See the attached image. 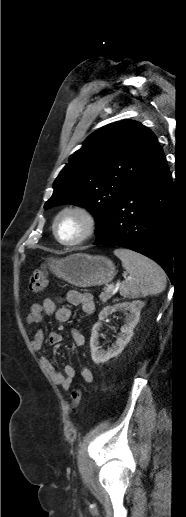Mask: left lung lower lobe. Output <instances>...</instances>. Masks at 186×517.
I'll return each mask as SVG.
<instances>
[{
	"mask_svg": "<svg viewBox=\"0 0 186 517\" xmlns=\"http://www.w3.org/2000/svg\"><path fill=\"white\" fill-rule=\"evenodd\" d=\"M173 183L163 150L114 207L94 244L121 246L156 261L172 281Z\"/></svg>",
	"mask_w": 186,
	"mask_h": 517,
	"instance_id": "1",
	"label": "left lung lower lobe"
}]
</instances>
